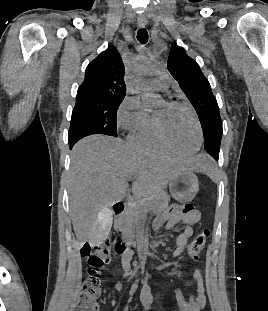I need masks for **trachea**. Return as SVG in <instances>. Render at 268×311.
<instances>
[{
    "label": "trachea",
    "mask_w": 268,
    "mask_h": 311,
    "mask_svg": "<svg viewBox=\"0 0 268 311\" xmlns=\"http://www.w3.org/2000/svg\"><path fill=\"white\" fill-rule=\"evenodd\" d=\"M137 40L141 43V44H146L148 41V32L146 29L142 28L140 30H138L137 32Z\"/></svg>",
    "instance_id": "3493384b"
}]
</instances>
